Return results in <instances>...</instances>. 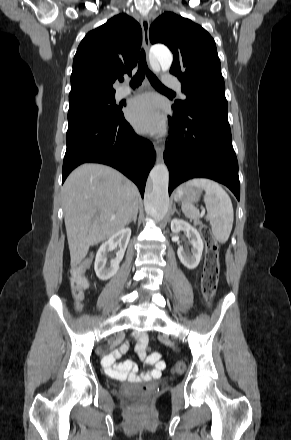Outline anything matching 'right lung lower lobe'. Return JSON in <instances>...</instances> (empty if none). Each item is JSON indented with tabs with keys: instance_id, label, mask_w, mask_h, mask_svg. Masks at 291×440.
I'll return each mask as SVG.
<instances>
[{
	"instance_id": "obj_1",
	"label": "right lung lower lobe",
	"mask_w": 291,
	"mask_h": 440,
	"mask_svg": "<svg viewBox=\"0 0 291 440\" xmlns=\"http://www.w3.org/2000/svg\"><path fill=\"white\" fill-rule=\"evenodd\" d=\"M68 123L62 183L78 165L102 163L126 175L144 196L146 180L156 154L151 142L135 134L122 111L108 115L75 110L68 112Z\"/></svg>"
}]
</instances>
